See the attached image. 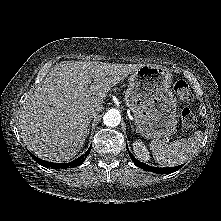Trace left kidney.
Returning <instances> with one entry per match:
<instances>
[{
	"label": "left kidney",
	"instance_id": "5707ae66",
	"mask_svg": "<svg viewBox=\"0 0 221 221\" xmlns=\"http://www.w3.org/2000/svg\"><path fill=\"white\" fill-rule=\"evenodd\" d=\"M133 150H134L135 155L141 160H144V161L150 160L149 151L142 142L135 141L133 143Z\"/></svg>",
	"mask_w": 221,
	"mask_h": 221
}]
</instances>
